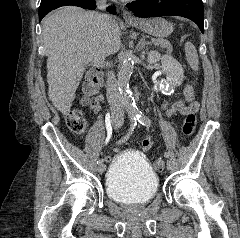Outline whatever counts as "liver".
I'll use <instances>...</instances> for the list:
<instances>
[{
    "label": "liver",
    "mask_w": 240,
    "mask_h": 238,
    "mask_svg": "<svg viewBox=\"0 0 240 238\" xmlns=\"http://www.w3.org/2000/svg\"><path fill=\"white\" fill-rule=\"evenodd\" d=\"M94 14L65 6L45 17L42 23L48 57V96L63 115L71 109L86 67L102 63L121 46V31L115 20L103 25Z\"/></svg>",
    "instance_id": "1"
}]
</instances>
